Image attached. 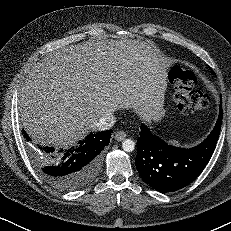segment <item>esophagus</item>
Masks as SVG:
<instances>
[{"label": "esophagus", "mask_w": 231, "mask_h": 231, "mask_svg": "<svg viewBox=\"0 0 231 231\" xmlns=\"http://www.w3.org/2000/svg\"><path fill=\"white\" fill-rule=\"evenodd\" d=\"M114 138L116 141H123L126 138V134L123 131H117Z\"/></svg>", "instance_id": "obj_1"}]
</instances>
